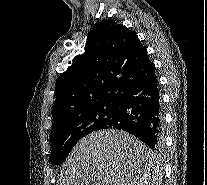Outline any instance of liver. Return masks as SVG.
Here are the masks:
<instances>
[{
    "label": "liver",
    "instance_id": "liver-1",
    "mask_svg": "<svg viewBox=\"0 0 207 185\" xmlns=\"http://www.w3.org/2000/svg\"><path fill=\"white\" fill-rule=\"evenodd\" d=\"M153 151L120 129L94 131L78 141L59 185H154Z\"/></svg>",
    "mask_w": 207,
    "mask_h": 185
}]
</instances>
